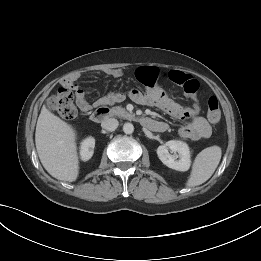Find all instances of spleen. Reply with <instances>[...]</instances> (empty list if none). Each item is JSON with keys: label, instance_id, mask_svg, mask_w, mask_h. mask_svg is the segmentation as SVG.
Instances as JSON below:
<instances>
[{"label": "spleen", "instance_id": "obj_1", "mask_svg": "<svg viewBox=\"0 0 261 261\" xmlns=\"http://www.w3.org/2000/svg\"><path fill=\"white\" fill-rule=\"evenodd\" d=\"M222 155L219 146L203 149L195 158L190 176L186 182L187 187H195L206 182L215 172Z\"/></svg>", "mask_w": 261, "mask_h": 261}]
</instances>
